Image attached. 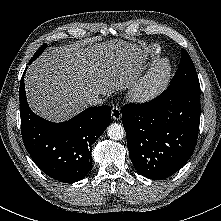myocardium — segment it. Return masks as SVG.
<instances>
[{
  "instance_id": "myocardium-1",
  "label": "myocardium",
  "mask_w": 221,
  "mask_h": 221,
  "mask_svg": "<svg viewBox=\"0 0 221 221\" xmlns=\"http://www.w3.org/2000/svg\"><path fill=\"white\" fill-rule=\"evenodd\" d=\"M172 66L169 59H157L133 86L131 95L139 102H150L161 95L168 85Z\"/></svg>"
}]
</instances>
